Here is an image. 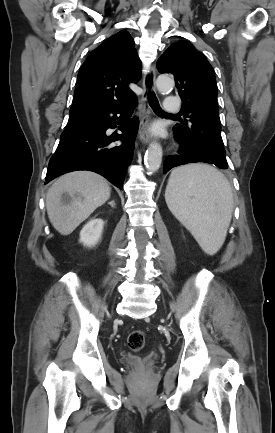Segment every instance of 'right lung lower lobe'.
<instances>
[{
	"label": "right lung lower lobe",
	"mask_w": 275,
	"mask_h": 433,
	"mask_svg": "<svg viewBox=\"0 0 275 433\" xmlns=\"http://www.w3.org/2000/svg\"><path fill=\"white\" fill-rule=\"evenodd\" d=\"M133 105H136V98L115 106L95 108L69 119L49 161L46 183L68 172L89 170L103 175L122 189L139 124L137 119L123 123L122 134L109 136L106 130L115 128L116 120H122ZM117 140L122 144L114 145Z\"/></svg>",
	"instance_id": "1"
}]
</instances>
